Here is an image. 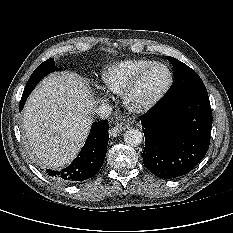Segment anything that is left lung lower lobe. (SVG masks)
<instances>
[{
	"label": "left lung lower lobe",
	"instance_id": "left-lung-lower-lobe-1",
	"mask_svg": "<svg viewBox=\"0 0 233 233\" xmlns=\"http://www.w3.org/2000/svg\"><path fill=\"white\" fill-rule=\"evenodd\" d=\"M144 165L160 178L190 172L209 148L212 112L207 92H184L161 100L140 117Z\"/></svg>",
	"mask_w": 233,
	"mask_h": 233
}]
</instances>
